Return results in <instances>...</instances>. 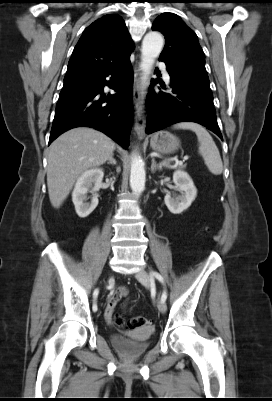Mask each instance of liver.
<instances>
[{"instance_id": "6515ba94", "label": "liver", "mask_w": 272, "mask_h": 401, "mask_svg": "<svg viewBox=\"0 0 272 401\" xmlns=\"http://www.w3.org/2000/svg\"><path fill=\"white\" fill-rule=\"evenodd\" d=\"M114 150L115 143L92 128L78 127L59 136L48 154L47 186L52 206L59 208L79 176L104 164Z\"/></svg>"}]
</instances>
